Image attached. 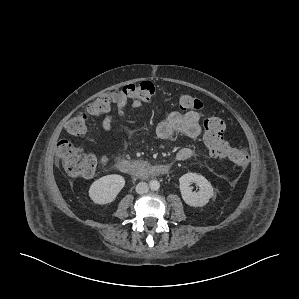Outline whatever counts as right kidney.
Wrapping results in <instances>:
<instances>
[{"label": "right kidney", "instance_id": "right-kidney-1", "mask_svg": "<svg viewBox=\"0 0 299 299\" xmlns=\"http://www.w3.org/2000/svg\"><path fill=\"white\" fill-rule=\"evenodd\" d=\"M124 186L125 179L121 175H106L92 183L89 196L94 203L108 204L115 200Z\"/></svg>", "mask_w": 299, "mask_h": 299}]
</instances>
